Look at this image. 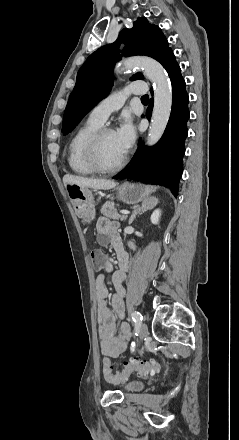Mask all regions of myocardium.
<instances>
[{"label":"myocardium","instance_id":"obj_1","mask_svg":"<svg viewBox=\"0 0 239 440\" xmlns=\"http://www.w3.org/2000/svg\"><path fill=\"white\" fill-rule=\"evenodd\" d=\"M113 129L108 126L99 127L87 140L85 145V158L88 165L98 173L110 174L119 171L126 163L128 159V153H125L118 162L112 166H105L99 157V146L102 137L107 132H112Z\"/></svg>","mask_w":239,"mask_h":440}]
</instances>
